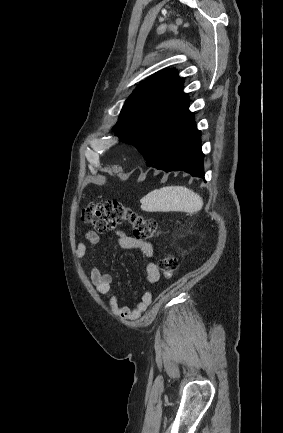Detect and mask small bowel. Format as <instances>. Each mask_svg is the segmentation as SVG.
<instances>
[{"mask_svg":"<svg viewBox=\"0 0 283 433\" xmlns=\"http://www.w3.org/2000/svg\"><path fill=\"white\" fill-rule=\"evenodd\" d=\"M118 246L122 249H135L138 248L147 258L153 256V247L149 242L139 241L129 236L123 231H118L116 234ZM85 241L90 246H94L99 243L100 236L93 230H89L85 234ZM85 242H78L76 248V255L78 258H82L87 250ZM146 279L150 283H156L159 278V269L153 262H148L145 268ZM88 274L92 284L99 294L107 295L109 299V306L114 316L122 320H135L140 317L143 311L151 304L152 294L146 292L140 298L135 308L120 305L117 296L112 292V277L111 275L103 272L97 263L92 264L88 269Z\"/></svg>","mask_w":283,"mask_h":433,"instance_id":"obj_1","label":"small bowel"}]
</instances>
